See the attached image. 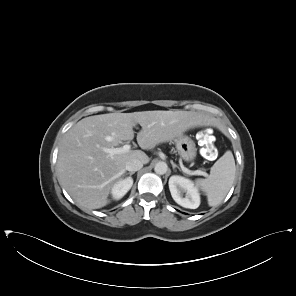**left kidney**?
I'll use <instances>...</instances> for the list:
<instances>
[{
    "label": "left kidney",
    "instance_id": "1",
    "mask_svg": "<svg viewBox=\"0 0 296 296\" xmlns=\"http://www.w3.org/2000/svg\"><path fill=\"white\" fill-rule=\"evenodd\" d=\"M169 189L172 198L180 206L189 209L199 207L200 194L191 180L179 175H173L169 179ZM184 193L185 197H183Z\"/></svg>",
    "mask_w": 296,
    "mask_h": 296
}]
</instances>
